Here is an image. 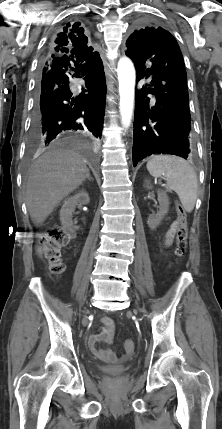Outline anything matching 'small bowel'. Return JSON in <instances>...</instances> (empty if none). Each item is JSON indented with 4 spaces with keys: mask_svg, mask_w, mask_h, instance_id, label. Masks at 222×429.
I'll return each instance as SVG.
<instances>
[{
    "mask_svg": "<svg viewBox=\"0 0 222 429\" xmlns=\"http://www.w3.org/2000/svg\"><path fill=\"white\" fill-rule=\"evenodd\" d=\"M178 227L177 220H175L167 230L164 236L165 245H170L175 236ZM102 328L99 333L93 334L88 338V346L95 357L106 362L115 363L117 362L116 353L109 348H101L99 344H112L114 337V323L109 317L101 318Z\"/></svg>",
    "mask_w": 222,
    "mask_h": 429,
    "instance_id": "1",
    "label": "small bowel"
}]
</instances>
